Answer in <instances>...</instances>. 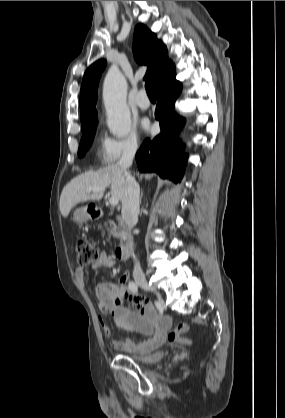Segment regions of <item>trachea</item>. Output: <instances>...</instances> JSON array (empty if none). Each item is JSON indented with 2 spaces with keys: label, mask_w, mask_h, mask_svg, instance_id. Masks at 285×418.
<instances>
[{
  "label": "trachea",
  "mask_w": 285,
  "mask_h": 418,
  "mask_svg": "<svg viewBox=\"0 0 285 418\" xmlns=\"http://www.w3.org/2000/svg\"><path fill=\"white\" fill-rule=\"evenodd\" d=\"M145 89L149 98H156V89L151 81L145 83Z\"/></svg>",
  "instance_id": "trachea-1"
}]
</instances>
